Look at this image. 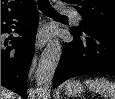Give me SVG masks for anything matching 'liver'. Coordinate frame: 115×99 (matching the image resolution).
Here are the masks:
<instances>
[{
	"instance_id": "1",
	"label": "liver",
	"mask_w": 115,
	"mask_h": 99,
	"mask_svg": "<svg viewBox=\"0 0 115 99\" xmlns=\"http://www.w3.org/2000/svg\"><path fill=\"white\" fill-rule=\"evenodd\" d=\"M1 99H15V94L1 87Z\"/></svg>"
}]
</instances>
